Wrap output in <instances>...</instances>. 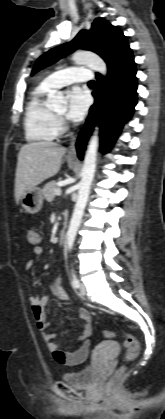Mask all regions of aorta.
Returning <instances> with one entry per match:
<instances>
[{"mask_svg": "<svg viewBox=\"0 0 165 419\" xmlns=\"http://www.w3.org/2000/svg\"><path fill=\"white\" fill-rule=\"evenodd\" d=\"M72 60L78 65H87L92 70L99 72L104 76L107 75L106 63L95 53L88 51H77L72 55ZM50 103L52 108L60 109L64 107L66 102L63 94L58 92L51 96ZM98 142V127L96 126L84 158V164L82 167V179L79 183L78 198L66 234V244L69 250H71L73 247L75 237L84 213V208L89 198L90 186L92 184L96 168Z\"/></svg>", "mask_w": 165, "mask_h": 419, "instance_id": "obj_1", "label": "aorta"}]
</instances>
